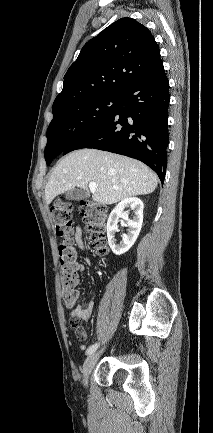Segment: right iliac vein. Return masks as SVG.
<instances>
[{
    "instance_id": "63e3f726",
    "label": "right iliac vein",
    "mask_w": 213,
    "mask_h": 433,
    "mask_svg": "<svg viewBox=\"0 0 213 433\" xmlns=\"http://www.w3.org/2000/svg\"><path fill=\"white\" fill-rule=\"evenodd\" d=\"M99 354H100V352L90 354L86 358V360H85V362L83 364V368H82V375H83L82 383H83L84 386L87 385L88 377H89L92 369L94 368V366H95V364H96V362L98 360Z\"/></svg>"
}]
</instances>
